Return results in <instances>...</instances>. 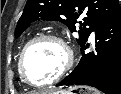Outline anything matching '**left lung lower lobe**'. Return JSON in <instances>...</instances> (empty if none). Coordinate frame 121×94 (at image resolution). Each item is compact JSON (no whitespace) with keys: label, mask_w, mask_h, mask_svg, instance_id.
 Listing matches in <instances>:
<instances>
[{"label":"left lung lower lobe","mask_w":121,"mask_h":94,"mask_svg":"<svg viewBox=\"0 0 121 94\" xmlns=\"http://www.w3.org/2000/svg\"><path fill=\"white\" fill-rule=\"evenodd\" d=\"M95 41V51L83 53L77 67L56 86L89 85L105 94H121V11L95 29Z\"/></svg>","instance_id":"left-lung-lower-lobe-1"}]
</instances>
